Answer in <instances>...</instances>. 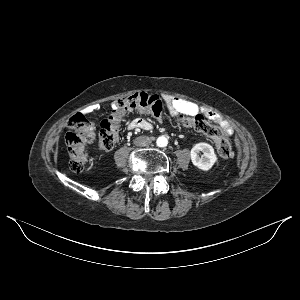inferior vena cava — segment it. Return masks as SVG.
<instances>
[{"mask_svg":"<svg viewBox=\"0 0 300 300\" xmlns=\"http://www.w3.org/2000/svg\"><path fill=\"white\" fill-rule=\"evenodd\" d=\"M151 142V139L147 136H139L134 140V144L138 147H148Z\"/></svg>","mask_w":300,"mask_h":300,"instance_id":"obj_1","label":"inferior vena cava"}]
</instances>
